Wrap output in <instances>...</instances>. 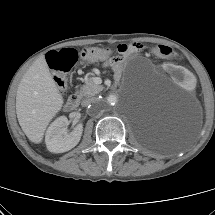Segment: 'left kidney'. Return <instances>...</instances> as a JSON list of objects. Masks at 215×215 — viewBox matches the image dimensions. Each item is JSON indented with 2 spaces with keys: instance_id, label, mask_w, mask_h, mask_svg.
I'll return each mask as SVG.
<instances>
[{
  "instance_id": "left-kidney-1",
  "label": "left kidney",
  "mask_w": 215,
  "mask_h": 215,
  "mask_svg": "<svg viewBox=\"0 0 215 215\" xmlns=\"http://www.w3.org/2000/svg\"><path fill=\"white\" fill-rule=\"evenodd\" d=\"M164 72L184 88H193L195 86L194 76L184 67H178L173 63H168L164 67Z\"/></svg>"
}]
</instances>
